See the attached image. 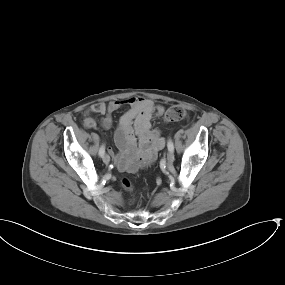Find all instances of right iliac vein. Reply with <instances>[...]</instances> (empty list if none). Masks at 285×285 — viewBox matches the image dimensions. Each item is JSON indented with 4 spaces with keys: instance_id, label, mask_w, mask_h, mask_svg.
Here are the masks:
<instances>
[{
    "instance_id": "obj_1",
    "label": "right iliac vein",
    "mask_w": 285,
    "mask_h": 285,
    "mask_svg": "<svg viewBox=\"0 0 285 285\" xmlns=\"http://www.w3.org/2000/svg\"><path fill=\"white\" fill-rule=\"evenodd\" d=\"M102 160L105 164H109L110 162V156L108 154H104L102 157Z\"/></svg>"
}]
</instances>
